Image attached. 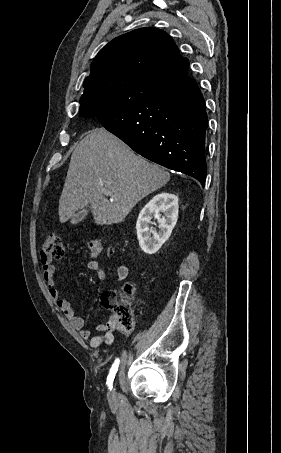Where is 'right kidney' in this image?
I'll return each mask as SVG.
<instances>
[{"label": "right kidney", "mask_w": 281, "mask_h": 453, "mask_svg": "<svg viewBox=\"0 0 281 453\" xmlns=\"http://www.w3.org/2000/svg\"><path fill=\"white\" fill-rule=\"evenodd\" d=\"M178 208V196L171 192L155 194L142 208L138 216L136 231L139 245L146 255L157 253L163 243L169 239L177 222ZM160 212H163V218H161ZM151 216L157 218L159 231H153L154 227H149Z\"/></svg>", "instance_id": "ca27d5eb"}]
</instances>
